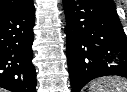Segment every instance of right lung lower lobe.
Segmentation results:
<instances>
[{
	"instance_id": "obj_1",
	"label": "right lung lower lobe",
	"mask_w": 127,
	"mask_h": 92,
	"mask_svg": "<svg viewBox=\"0 0 127 92\" xmlns=\"http://www.w3.org/2000/svg\"><path fill=\"white\" fill-rule=\"evenodd\" d=\"M34 24L33 4L0 14V87L12 92H35Z\"/></svg>"
}]
</instances>
